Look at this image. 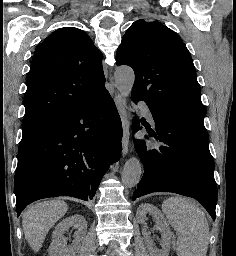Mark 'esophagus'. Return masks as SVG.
I'll return each mask as SVG.
<instances>
[{
  "label": "esophagus",
  "mask_w": 236,
  "mask_h": 256,
  "mask_svg": "<svg viewBox=\"0 0 236 256\" xmlns=\"http://www.w3.org/2000/svg\"><path fill=\"white\" fill-rule=\"evenodd\" d=\"M114 101L122 122V155L124 156L128 152V145L130 140V124L127 118L126 111L124 109L125 102L122 96L120 94H115Z\"/></svg>",
  "instance_id": "1"
}]
</instances>
